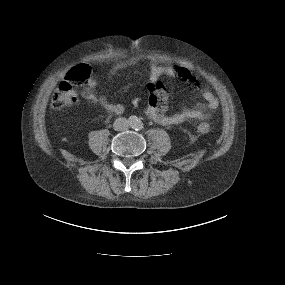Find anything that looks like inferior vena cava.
<instances>
[{"instance_id": "obj_1", "label": "inferior vena cava", "mask_w": 285, "mask_h": 285, "mask_svg": "<svg viewBox=\"0 0 285 285\" xmlns=\"http://www.w3.org/2000/svg\"><path fill=\"white\" fill-rule=\"evenodd\" d=\"M128 126H129L128 120L124 117L117 118L113 124V128L116 131L127 130Z\"/></svg>"}]
</instances>
